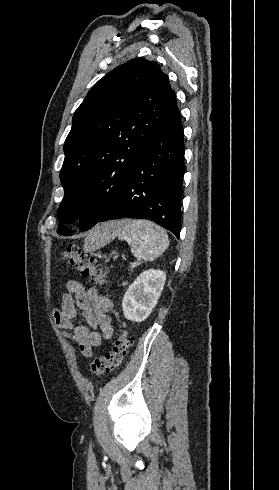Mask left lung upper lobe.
Instances as JSON below:
<instances>
[{"label":"left lung upper lobe","instance_id":"5c2ea615","mask_svg":"<svg viewBox=\"0 0 279 490\" xmlns=\"http://www.w3.org/2000/svg\"><path fill=\"white\" fill-rule=\"evenodd\" d=\"M176 107L168 76L144 58L118 66L90 89L64 144L59 234L72 235L63 223L80 215L88 230L114 207L142 147Z\"/></svg>","mask_w":279,"mask_h":490}]
</instances>
